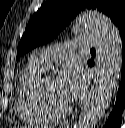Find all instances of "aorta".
<instances>
[{
	"label": "aorta",
	"instance_id": "762f6f07",
	"mask_svg": "<svg viewBox=\"0 0 125 128\" xmlns=\"http://www.w3.org/2000/svg\"><path fill=\"white\" fill-rule=\"evenodd\" d=\"M78 21L97 38V70L77 128H95L116 90L121 68L122 42L118 29L111 20L97 11H85Z\"/></svg>",
	"mask_w": 125,
	"mask_h": 128
}]
</instances>
